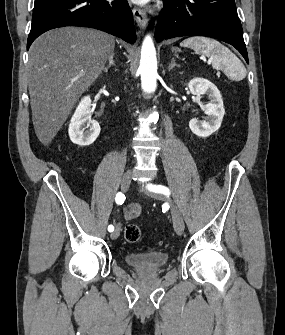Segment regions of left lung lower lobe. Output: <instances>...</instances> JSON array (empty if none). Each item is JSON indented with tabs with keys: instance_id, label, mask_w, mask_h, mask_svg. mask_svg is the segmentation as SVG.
<instances>
[{
	"instance_id": "obj_1",
	"label": "left lung lower lobe",
	"mask_w": 285,
	"mask_h": 335,
	"mask_svg": "<svg viewBox=\"0 0 285 335\" xmlns=\"http://www.w3.org/2000/svg\"><path fill=\"white\" fill-rule=\"evenodd\" d=\"M208 36L234 46L248 63L242 26L234 0H164L155 38Z\"/></svg>"
}]
</instances>
